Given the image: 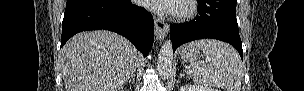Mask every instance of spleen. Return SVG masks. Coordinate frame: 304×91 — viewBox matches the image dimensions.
Masks as SVG:
<instances>
[{
    "label": "spleen",
    "instance_id": "obj_1",
    "mask_svg": "<svg viewBox=\"0 0 304 91\" xmlns=\"http://www.w3.org/2000/svg\"><path fill=\"white\" fill-rule=\"evenodd\" d=\"M195 45L203 51L206 59L186 66L188 76L201 85L240 91L244 73L237 51L218 40H199Z\"/></svg>",
    "mask_w": 304,
    "mask_h": 91
}]
</instances>
